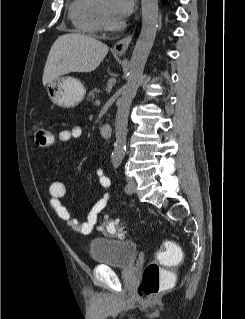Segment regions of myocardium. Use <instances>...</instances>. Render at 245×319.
Instances as JSON below:
<instances>
[{
    "instance_id": "1",
    "label": "myocardium",
    "mask_w": 245,
    "mask_h": 319,
    "mask_svg": "<svg viewBox=\"0 0 245 319\" xmlns=\"http://www.w3.org/2000/svg\"><path fill=\"white\" fill-rule=\"evenodd\" d=\"M100 17H101L102 26L106 30L115 31V30H119L123 28L124 26L123 22H120L111 18V16L103 7L101 2H100Z\"/></svg>"
}]
</instances>
